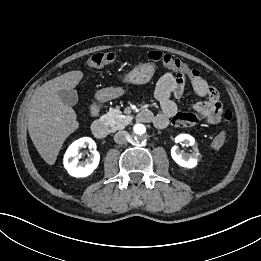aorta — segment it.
<instances>
[{
    "label": "aorta",
    "mask_w": 261,
    "mask_h": 261,
    "mask_svg": "<svg viewBox=\"0 0 261 261\" xmlns=\"http://www.w3.org/2000/svg\"><path fill=\"white\" fill-rule=\"evenodd\" d=\"M146 128L143 124H136L133 127V134L138 139L141 140L145 137Z\"/></svg>",
    "instance_id": "1"
}]
</instances>
